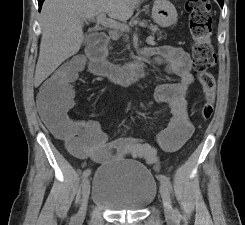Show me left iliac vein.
I'll return each instance as SVG.
<instances>
[{
  "label": "left iliac vein",
  "mask_w": 245,
  "mask_h": 225,
  "mask_svg": "<svg viewBox=\"0 0 245 225\" xmlns=\"http://www.w3.org/2000/svg\"><path fill=\"white\" fill-rule=\"evenodd\" d=\"M160 193L164 205V212H165L166 219L168 221H172L174 219V212L171 204V198H170L168 187L164 183L160 184Z\"/></svg>",
  "instance_id": "obj_1"
}]
</instances>
